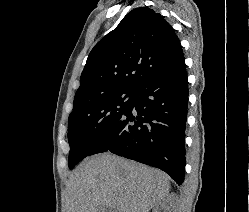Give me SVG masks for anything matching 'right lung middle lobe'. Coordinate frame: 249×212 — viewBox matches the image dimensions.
<instances>
[{
	"label": "right lung middle lobe",
	"instance_id": "dd1d6c3e",
	"mask_svg": "<svg viewBox=\"0 0 249 212\" xmlns=\"http://www.w3.org/2000/svg\"><path fill=\"white\" fill-rule=\"evenodd\" d=\"M133 95L129 91L105 94L73 108L68 119L70 169L93 155L96 146L130 107Z\"/></svg>",
	"mask_w": 249,
	"mask_h": 212
}]
</instances>
